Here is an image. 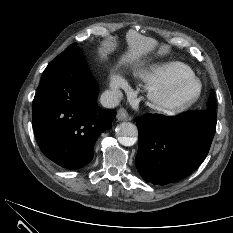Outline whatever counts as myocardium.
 <instances>
[{
    "instance_id": "f54148a6",
    "label": "myocardium",
    "mask_w": 233,
    "mask_h": 233,
    "mask_svg": "<svg viewBox=\"0 0 233 233\" xmlns=\"http://www.w3.org/2000/svg\"><path fill=\"white\" fill-rule=\"evenodd\" d=\"M195 85L193 95L187 98H178V91L185 85ZM202 83L195 76H187L164 85L150 87L148 101L156 111L165 115H177L190 109L201 97Z\"/></svg>"
}]
</instances>
